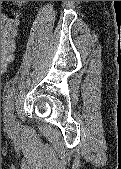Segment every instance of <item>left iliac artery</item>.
<instances>
[{"mask_svg":"<svg viewBox=\"0 0 121 169\" xmlns=\"http://www.w3.org/2000/svg\"><path fill=\"white\" fill-rule=\"evenodd\" d=\"M16 95V87L12 85L8 88L6 92V101H5V116L8 118H12L13 116V108H14V99Z\"/></svg>","mask_w":121,"mask_h":169,"instance_id":"1","label":"left iliac artery"}]
</instances>
